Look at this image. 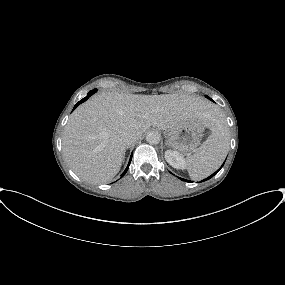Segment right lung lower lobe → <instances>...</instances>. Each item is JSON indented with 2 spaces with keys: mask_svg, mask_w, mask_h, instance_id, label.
I'll use <instances>...</instances> for the list:
<instances>
[{
  "mask_svg": "<svg viewBox=\"0 0 285 285\" xmlns=\"http://www.w3.org/2000/svg\"><path fill=\"white\" fill-rule=\"evenodd\" d=\"M96 91H97L96 89L91 90V91L87 94V96H86L85 98H83L82 100H80V101L74 106V109H75L79 104H81V103H83L84 101H86V100H87L92 94H94ZM74 109H73V110H74ZM131 159H132V155H131V158H130V160H129V164H128L127 168L125 169V171L122 173L121 177H123V176L125 175V173L127 172L128 168H129V165H130V162H131Z\"/></svg>",
  "mask_w": 285,
  "mask_h": 285,
  "instance_id": "1",
  "label": "right lung lower lobe"
}]
</instances>
